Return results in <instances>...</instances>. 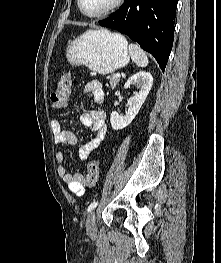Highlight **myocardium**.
<instances>
[{
    "label": "myocardium",
    "instance_id": "obj_1",
    "mask_svg": "<svg viewBox=\"0 0 221 263\" xmlns=\"http://www.w3.org/2000/svg\"><path fill=\"white\" fill-rule=\"evenodd\" d=\"M125 0H115L109 7L98 13H88L82 6V0H77L78 8L83 15L91 19L107 16L121 7Z\"/></svg>",
    "mask_w": 221,
    "mask_h": 263
}]
</instances>
